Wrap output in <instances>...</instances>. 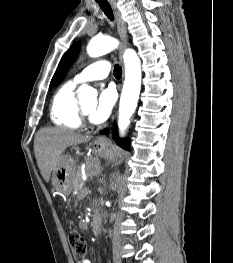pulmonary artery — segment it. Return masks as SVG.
Wrapping results in <instances>:
<instances>
[{"label": "pulmonary artery", "instance_id": "obj_1", "mask_svg": "<svg viewBox=\"0 0 233 263\" xmlns=\"http://www.w3.org/2000/svg\"><path fill=\"white\" fill-rule=\"evenodd\" d=\"M111 66L106 59L96 61L75 75L74 81L76 83H84L88 81L101 80L108 76Z\"/></svg>", "mask_w": 233, "mask_h": 263}]
</instances>
